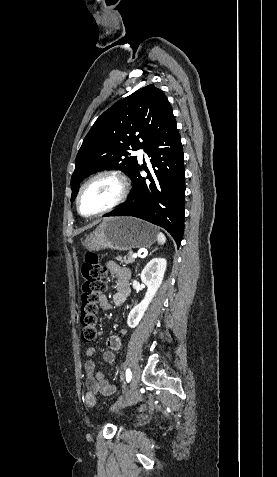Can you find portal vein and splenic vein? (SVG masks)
Masks as SVG:
<instances>
[{
    "label": "portal vein and splenic vein",
    "mask_w": 277,
    "mask_h": 477,
    "mask_svg": "<svg viewBox=\"0 0 277 477\" xmlns=\"http://www.w3.org/2000/svg\"><path fill=\"white\" fill-rule=\"evenodd\" d=\"M134 258H137L139 255L137 253H133L132 255Z\"/></svg>",
    "instance_id": "obj_1"
}]
</instances>
